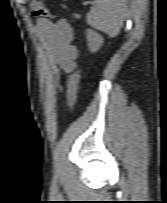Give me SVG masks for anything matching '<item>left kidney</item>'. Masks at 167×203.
I'll return each mask as SVG.
<instances>
[{
  "mask_svg": "<svg viewBox=\"0 0 167 203\" xmlns=\"http://www.w3.org/2000/svg\"><path fill=\"white\" fill-rule=\"evenodd\" d=\"M86 36L88 41V47L91 52H96L103 44V38L96 32L87 29Z\"/></svg>",
  "mask_w": 167,
  "mask_h": 203,
  "instance_id": "obj_1",
  "label": "left kidney"
}]
</instances>
